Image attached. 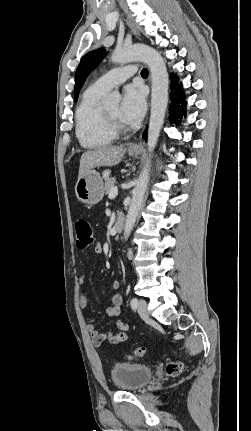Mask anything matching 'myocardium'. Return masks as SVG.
Here are the masks:
<instances>
[{
	"instance_id": "obj_1",
	"label": "myocardium",
	"mask_w": 251,
	"mask_h": 431,
	"mask_svg": "<svg viewBox=\"0 0 251 431\" xmlns=\"http://www.w3.org/2000/svg\"><path fill=\"white\" fill-rule=\"evenodd\" d=\"M103 117L108 128L115 134L124 133L128 130V127L123 121L113 118L109 115L106 110H103Z\"/></svg>"
}]
</instances>
